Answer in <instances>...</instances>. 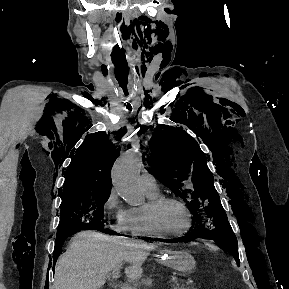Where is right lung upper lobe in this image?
<instances>
[{"mask_svg":"<svg viewBox=\"0 0 289 289\" xmlns=\"http://www.w3.org/2000/svg\"><path fill=\"white\" fill-rule=\"evenodd\" d=\"M119 150L109 142L104 132L91 135L79 147L72 164L67 169L61 189L64 197L93 194L111 190L110 170Z\"/></svg>","mask_w":289,"mask_h":289,"instance_id":"obj_1","label":"right lung upper lobe"}]
</instances>
